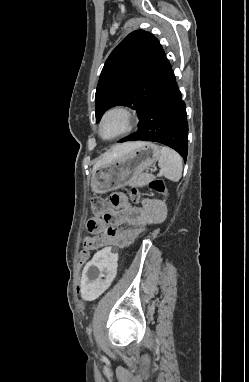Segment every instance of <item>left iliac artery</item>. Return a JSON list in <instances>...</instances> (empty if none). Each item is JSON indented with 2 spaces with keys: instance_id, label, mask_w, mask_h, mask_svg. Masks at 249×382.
<instances>
[{
  "instance_id": "obj_1",
  "label": "left iliac artery",
  "mask_w": 249,
  "mask_h": 382,
  "mask_svg": "<svg viewBox=\"0 0 249 382\" xmlns=\"http://www.w3.org/2000/svg\"><path fill=\"white\" fill-rule=\"evenodd\" d=\"M87 331H88V334L90 335L91 334V326L88 327Z\"/></svg>"
}]
</instances>
